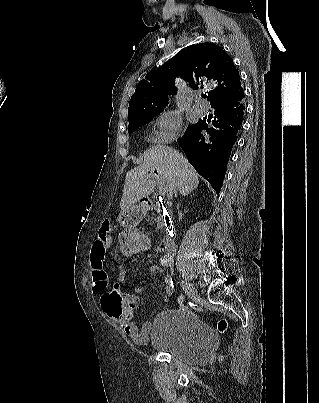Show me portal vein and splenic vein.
Masks as SVG:
<instances>
[{
	"label": "portal vein and splenic vein",
	"instance_id": "obj_1",
	"mask_svg": "<svg viewBox=\"0 0 319 403\" xmlns=\"http://www.w3.org/2000/svg\"><path fill=\"white\" fill-rule=\"evenodd\" d=\"M158 185H159V192L161 194H164L167 192V187L165 186V183L161 178L158 180Z\"/></svg>",
	"mask_w": 319,
	"mask_h": 403
}]
</instances>
